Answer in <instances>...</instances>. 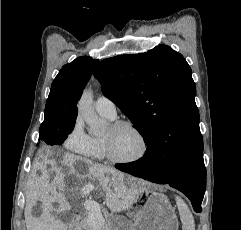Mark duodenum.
Returning a JSON list of instances; mask_svg holds the SVG:
<instances>
[{"instance_id": "duodenum-1", "label": "duodenum", "mask_w": 241, "mask_h": 230, "mask_svg": "<svg viewBox=\"0 0 241 230\" xmlns=\"http://www.w3.org/2000/svg\"><path fill=\"white\" fill-rule=\"evenodd\" d=\"M79 221H80L79 216H75V217L71 220V222H70V227H71V228H76V227L78 226V224H79Z\"/></svg>"}]
</instances>
